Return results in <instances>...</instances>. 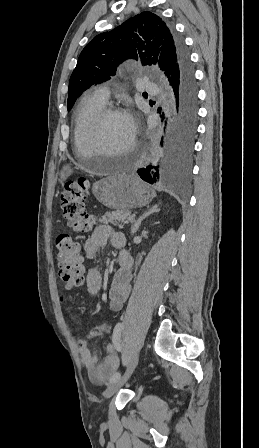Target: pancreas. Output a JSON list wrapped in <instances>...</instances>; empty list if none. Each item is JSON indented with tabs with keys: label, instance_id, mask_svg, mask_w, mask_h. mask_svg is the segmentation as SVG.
I'll list each match as a JSON object with an SVG mask.
<instances>
[{
	"label": "pancreas",
	"instance_id": "pancreas-1",
	"mask_svg": "<svg viewBox=\"0 0 259 448\" xmlns=\"http://www.w3.org/2000/svg\"><path fill=\"white\" fill-rule=\"evenodd\" d=\"M134 217L129 210H117V212H106L105 216H102L100 220L101 224H113V226H118V228H123L124 222L128 218Z\"/></svg>",
	"mask_w": 259,
	"mask_h": 448
}]
</instances>
